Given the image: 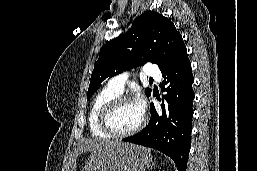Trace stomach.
Here are the masks:
<instances>
[{
  "mask_svg": "<svg viewBox=\"0 0 257 171\" xmlns=\"http://www.w3.org/2000/svg\"><path fill=\"white\" fill-rule=\"evenodd\" d=\"M151 155L141 146L115 142L93 151L82 171H145Z\"/></svg>",
  "mask_w": 257,
  "mask_h": 171,
  "instance_id": "0dacf381",
  "label": "stomach"
}]
</instances>
